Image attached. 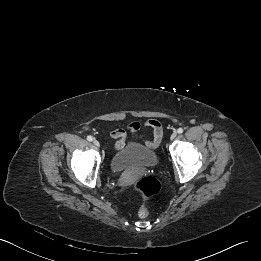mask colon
<instances>
[{"mask_svg": "<svg viewBox=\"0 0 261 261\" xmlns=\"http://www.w3.org/2000/svg\"><path fill=\"white\" fill-rule=\"evenodd\" d=\"M134 189L140 192L145 200H148L160 191L161 185L155 178L146 176L135 184ZM138 216L140 218H147L149 216V210L145 205L140 206L138 209Z\"/></svg>", "mask_w": 261, "mask_h": 261, "instance_id": "5ec220e1", "label": "colon"}]
</instances>
